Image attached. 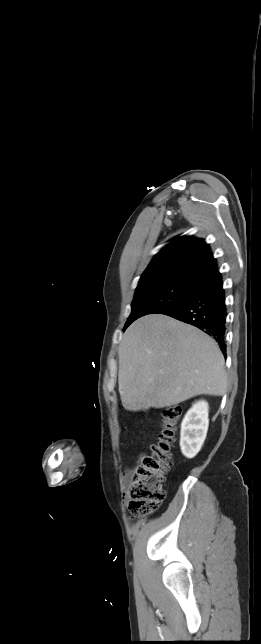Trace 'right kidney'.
<instances>
[{"instance_id":"right-kidney-1","label":"right kidney","mask_w":261,"mask_h":644,"mask_svg":"<svg viewBox=\"0 0 261 644\" xmlns=\"http://www.w3.org/2000/svg\"><path fill=\"white\" fill-rule=\"evenodd\" d=\"M208 425V403L198 401L188 410L181 424L180 447L185 457L193 458L200 451Z\"/></svg>"}]
</instances>
